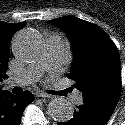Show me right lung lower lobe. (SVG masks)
Wrapping results in <instances>:
<instances>
[{"label": "right lung lower lobe", "mask_w": 125, "mask_h": 125, "mask_svg": "<svg viewBox=\"0 0 125 125\" xmlns=\"http://www.w3.org/2000/svg\"><path fill=\"white\" fill-rule=\"evenodd\" d=\"M34 101L30 91L13 95L9 91L0 94V125H20L25 107Z\"/></svg>", "instance_id": "1"}]
</instances>
